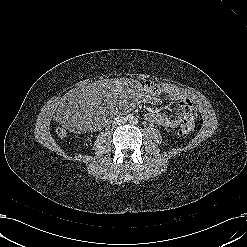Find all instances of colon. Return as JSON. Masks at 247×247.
Segmentation results:
<instances>
[{
  "label": "colon",
  "mask_w": 247,
  "mask_h": 247,
  "mask_svg": "<svg viewBox=\"0 0 247 247\" xmlns=\"http://www.w3.org/2000/svg\"><path fill=\"white\" fill-rule=\"evenodd\" d=\"M149 92L154 99H159L163 96V91L159 85L148 84ZM190 129L188 127H181L178 130V135L183 137L188 134ZM56 133L60 138H65L68 134V131L64 125H58L56 127Z\"/></svg>",
  "instance_id": "colon-1"
}]
</instances>
